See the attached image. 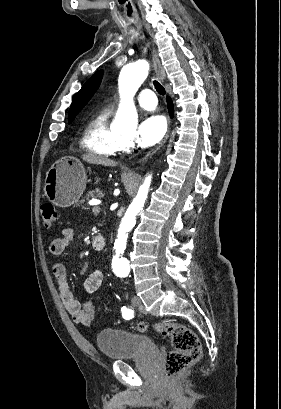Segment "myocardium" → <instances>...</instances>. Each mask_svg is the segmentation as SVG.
Listing matches in <instances>:
<instances>
[{
    "instance_id": "myocardium-1",
    "label": "myocardium",
    "mask_w": 281,
    "mask_h": 409,
    "mask_svg": "<svg viewBox=\"0 0 281 409\" xmlns=\"http://www.w3.org/2000/svg\"><path fill=\"white\" fill-rule=\"evenodd\" d=\"M120 149H126L130 145V140L124 138L118 133H115Z\"/></svg>"
}]
</instances>
